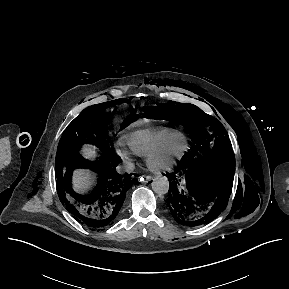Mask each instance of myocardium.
Here are the masks:
<instances>
[{
  "mask_svg": "<svg viewBox=\"0 0 289 289\" xmlns=\"http://www.w3.org/2000/svg\"><path fill=\"white\" fill-rule=\"evenodd\" d=\"M180 142L181 148L176 153H169L170 146ZM189 150L188 138L183 133H177L159 147L153 149L146 155V165L154 173H162L174 169L180 161L186 156ZM166 156L165 161H160L162 157Z\"/></svg>",
  "mask_w": 289,
  "mask_h": 289,
  "instance_id": "myocardium-1",
  "label": "myocardium"
}]
</instances>
